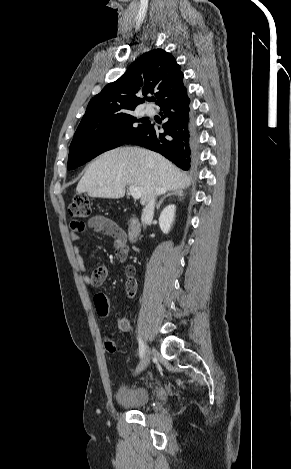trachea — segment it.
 Segmentation results:
<instances>
[{"label":"trachea","mask_w":291,"mask_h":469,"mask_svg":"<svg viewBox=\"0 0 291 469\" xmlns=\"http://www.w3.org/2000/svg\"><path fill=\"white\" fill-rule=\"evenodd\" d=\"M151 100H152V101H155V98H152Z\"/></svg>","instance_id":"obj_1"}]
</instances>
